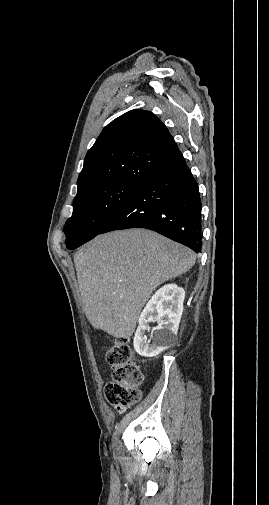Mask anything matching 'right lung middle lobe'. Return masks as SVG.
I'll list each match as a JSON object with an SVG mask.
<instances>
[{
  "label": "right lung middle lobe",
  "mask_w": 269,
  "mask_h": 505,
  "mask_svg": "<svg viewBox=\"0 0 269 505\" xmlns=\"http://www.w3.org/2000/svg\"><path fill=\"white\" fill-rule=\"evenodd\" d=\"M140 186L105 183L77 193L64 227L66 247L75 249L100 234Z\"/></svg>",
  "instance_id": "1"
}]
</instances>
